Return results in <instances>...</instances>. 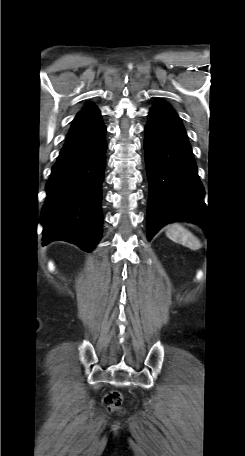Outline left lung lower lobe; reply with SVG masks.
<instances>
[{
    "label": "left lung lower lobe",
    "mask_w": 245,
    "mask_h": 456,
    "mask_svg": "<svg viewBox=\"0 0 245 456\" xmlns=\"http://www.w3.org/2000/svg\"><path fill=\"white\" fill-rule=\"evenodd\" d=\"M144 150L149 181L148 240L171 222L201 224L206 209L204 187L192 148L177 113L163 101L149 111Z\"/></svg>",
    "instance_id": "obj_1"
}]
</instances>
